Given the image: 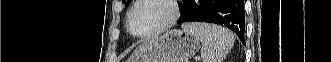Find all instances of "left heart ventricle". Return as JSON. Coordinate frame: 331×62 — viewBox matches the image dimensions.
<instances>
[{
  "mask_svg": "<svg viewBox=\"0 0 331 62\" xmlns=\"http://www.w3.org/2000/svg\"><path fill=\"white\" fill-rule=\"evenodd\" d=\"M171 14L168 4L162 0H149L140 4L132 14V30L146 33L164 23Z\"/></svg>",
  "mask_w": 331,
  "mask_h": 62,
  "instance_id": "b2bd125f",
  "label": "left heart ventricle"
}]
</instances>
